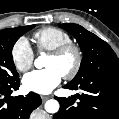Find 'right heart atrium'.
Returning a JSON list of instances; mask_svg holds the SVG:
<instances>
[{"mask_svg": "<svg viewBox=\"0 0 119 119\" xmlns=\"http://www.w3.org/2000/svg\"><path fill=\"white\" fill-rule=\"evenodd\" d=\"M11 58L20 72L28 71L34 63V51L26 37L19 38L11 49Z\"/></svg>", "mask_w": 119, "mask_h": 119, "instance_id": "1", "label": "right heart atrium"}]
</instances>
